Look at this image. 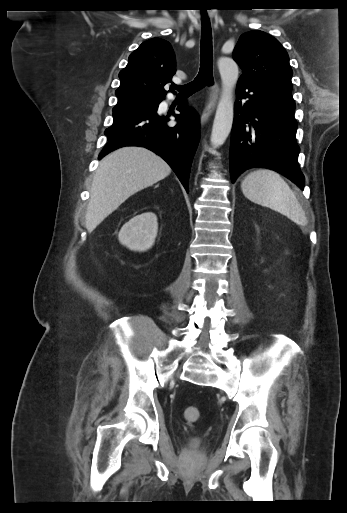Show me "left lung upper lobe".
<instances>
[{"label":"left lung upper lobe","instance_id":"obj_1","mask_svg":"<svg viewBox=\"0 0 347 513\" xmlns=\"http://www.w3.org/2000/svg\"><path fill=\"white\" fill-rule=\"evenodd\" d=\"M242 69L240 79L253 83L290 84L289 56L278 40L253 30L242 34L233 53Z\"/></svg>","mask_w":347,"mask_h":513}]
</instances>
